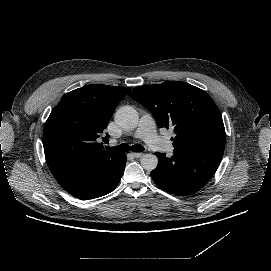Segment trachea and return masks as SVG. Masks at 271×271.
Wrapping results in <instances>:
<instances>
[{
	"instance_id": "1",
	"label": "trachea",
	"mask_w": 271,
	"mask_h": 271,
	"mask_svg": "<svg viewBox=\"0 0 271 271\" xmlns=\"http://www.w3.org/2000/svg\"><path fill=\"white\" fill-rule=\"evenodd\" d=\"M144 147L140 144H135L133 146H129L125 143H122L121 145L115 146V147H109L108 150L116 151V152H127V151H133V152H142L144 151Z\"/></svg>"
}]
</instances>
